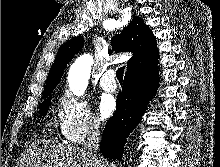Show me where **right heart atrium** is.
<instances>
[{"instance_id": "obj_1", "label": "right heart atrium", "mask_w": 220, "mask_h": 167, "mask_svg": "<svg viewBox=\"0 0 220 167\" xmlns=\"http://www.w3.org/2000/svg\"><path fill=\"white\" fill-rule=\"evenodd\" d=\"M60 134L72 144H82L87 137L100 132V122L85 100L64 93L56 115Z\"/></svg>"}]
</instances>
